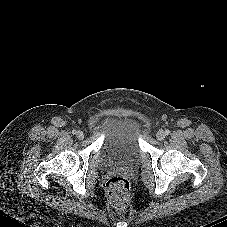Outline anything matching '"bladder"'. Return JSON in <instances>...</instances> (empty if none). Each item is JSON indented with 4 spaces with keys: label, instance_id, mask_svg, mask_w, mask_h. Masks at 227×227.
Wrapping results in <instances>:
<instances>
[{
    "label": "bladder",
    "instance_id": "bladder-1",
    "mask_svg": "<svg viewBox=\"0 0 227 227\" xmlns=\"http://www.w3.org/2000/svg\"><path fill=\"white\" fill-rule=\"evenodd\" d=\"M96 126L105 135L103 155L106 162L130 165L139 158V126L134 118L109 114Z\"/></svg>",
    "mask_w": 227,
    "mask_h": 227
}]
</instances>
